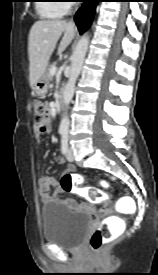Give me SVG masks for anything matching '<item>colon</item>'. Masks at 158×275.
<instances>
[{
  "instance_id": "obj_1",
  "label": "colon",
  "mask_w": 158,
  "mask_h": 275,
  "mask_svg": "<svg viewBox=\"0 0 158 275\" xmlns=\"http://www.w3.org/2000/svg\"><path fill=\"white\" fill-rule=\"evenodd\" d=\"M33 112L35 129L39 132L45 131L49 126V109L46 103L35 100L33 102ZM85 178L79 173H66L62 176L60 186L63 192H75L83 195L88 200L93 202H101L107 199V196L102 191L92 188L84 187ZM101 184L106 186V182L102 181ZM109 208L106 207L102 210V215H107ZM118 235V232L104 223L98 229H96L90 237L89 246L94 252L101 251L104 246L113 241Z\"/></svg>"
}]
</instances>
